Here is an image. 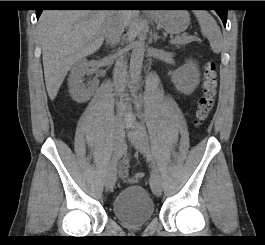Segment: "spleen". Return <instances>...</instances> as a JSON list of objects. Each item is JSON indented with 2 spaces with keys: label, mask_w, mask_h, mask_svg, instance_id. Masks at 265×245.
Here are the masks:
<instances>
[{
  "label": "spleen",
  "mask_w": 265,
  "mask_h": 245,
  "mask_svg": "<svg viewBox=\"0 0 265 245\" xmlns=\"http://www.w3.org/2000/svg\"><path fill=\"white\" fill-rule=\"evenodd\" d=\"M194 14L198 19L202 34L208 38L213 52H221L223 49L222 34L214 18L205 10H196Z\"/></svg>",
  "instance_id": "3e777b00"
}]
</instances>
